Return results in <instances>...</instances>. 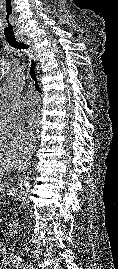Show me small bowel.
I'll return each mask as SVG.
<instances>
[{"instance_id": "c3829d8e", "label": "small bowel", "mask_w": 118, "mask_h": 269, "mask_svg": "<svg viewBox=\"0 0 118 269\" xmlns=\"http://www.w3.org/2000/svg\"><path fill=\"white\" fill-rule=\"evenodd\" d=\"M6 264H7V260H6V259H3V260H2V265L5 266ZM0 269H1V268H0Z\"/></svg>"}]
</instances>
